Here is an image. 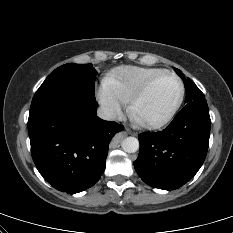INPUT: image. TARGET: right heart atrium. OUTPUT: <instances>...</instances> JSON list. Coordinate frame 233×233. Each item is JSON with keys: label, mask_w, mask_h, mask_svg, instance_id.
<instances>
[{"label": "right heart atrium", "mask_w": 233, "mask_h": 233, "mask_svg": "<svg viewBox=\"0 0 233 233\" xmlns=\"http://www.w3.org/2000/svg\"><path fill=\"white\" fill-rule=\"evenodd\" d=\"M96 97L108 117L116 118L122 113L123 103L112 95L104 86L97 89Z\"/></svg>", "instance_id": "1"}]
</instances>
